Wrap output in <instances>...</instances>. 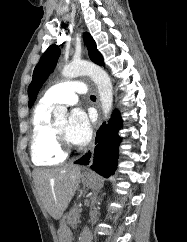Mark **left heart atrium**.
I'll return each instance as SVG.
<instances>
[{
    "instance_id": "1",
    "label": "left heart atrium",
    "mask_w": 187,
    "mask_h": 242,
    "mask_svg": "<svg viewBox=\"0 0 187 242\" xmlns=\"http://www.w3.org/2000/svg\"><path fill=\"white\" fill-rule=\"evenodd\" d=\"M92 133L90 119L80 108H75L70 113L65 129V138L74 145L86 144Z\"/></svg>"
}]
</instances>
